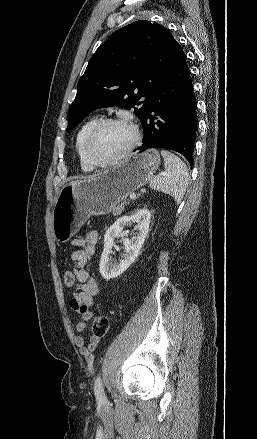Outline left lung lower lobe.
<instances>
[{"mask_svg": "<svg viewBox=\"0 0 257 439\" xmlns=\"http://www.w3.org/2000/svg\"><path fill=\"white\" fill-rule=\"evenodd\" d=\"M196 109L190 71L178 44L171 65L155 88L150 109L142 121L144 136L139 149H170L185 156L192 166L198 124Z\"/></svg>", "mask_w": 257, "mask_h": 439, "instance_id": "1", "label": "left lung lower lobe"}]
</instances>
